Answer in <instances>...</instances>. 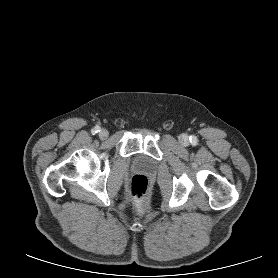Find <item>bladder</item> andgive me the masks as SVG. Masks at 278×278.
I'll return each mask as SVG.
<instances>
[{
	"label": "bladder",
	"instance_id": "obj_1",
	"mask_svg": "<svg viewBox=\"0 0 278 278\" xmlns=\"http://www.w3.org/2000/svg\"><path fill=\"white\" fill-rule=\"evenodd\" d=\"M134 167L143 170H150L152 169L153 165L151 160L145 155H137L133 160Z\"/></svg>",
	"mask_w": 278,
	"mask_h": 278
}]
</instances>
